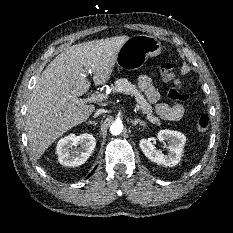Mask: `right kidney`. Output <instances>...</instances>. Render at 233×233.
Masks as SVG:
<instances>
[{"label":"right kidney","instance_id":"ca27d5eb","mask_svg":"<svg viewBox=\"0 0 233 233\" xmlns=\"http://www.w3.org/2000/svg\"><path fill=\"white\" fill-rule=\"evenodd\" d=\"M95 146L96 140L91 134L85 133L79 136L69 134L58 141L56 153L60 164L74 167L84 164Z\"/></svg>","mask_w":233,"mask_h":233}]
</instances>
